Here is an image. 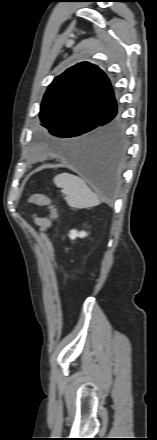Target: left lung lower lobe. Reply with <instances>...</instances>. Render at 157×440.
I'll return each mask as SVG.
<instances>
[{"mask_svg":"<svg viewBox=\"0 0 157 440\" xmlns=\"http://www.w3.org/2000/svg\"><path fill=\"white\" fill-rule=\"evenodd\" d=\"M125 152V126L117 113L94 136L65 146L71 165L104 194L116 187Z\"/></svg>","mask_w":157,"mask_h":440,"instance_id":"left-lung-lower-lobe-1","label":"left lung lower lobe"}]
</instances>
